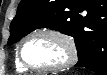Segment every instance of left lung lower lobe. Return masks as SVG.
I'll return each mask as SVG.
<instances>
[{
    "label": "left lung lower lobe",
    "mask_w": 107,
    "mask_h": 75,
    "mask_svg": "<svg viewBox=\"0 0 107 75\" xmlns=\"http://www.w3.org/2000/svg\"><path fill=\"white\" fill-rule=\"evenodd\" d=\"M86 5L92 7L95 15L107 18V0H87ZM82 39H84V52L75 66L107 75V39L86 35Z\"/></svg>",
    "instance_id": "left-lung-lower-lobe-1"
}]
</instances>
